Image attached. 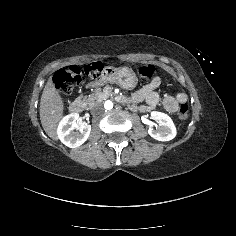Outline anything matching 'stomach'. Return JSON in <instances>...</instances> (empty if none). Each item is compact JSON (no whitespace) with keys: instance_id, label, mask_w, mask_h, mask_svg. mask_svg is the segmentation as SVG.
Masks as SVG:
<instances>
[{"instance_id":"obj_1","label":"stomach","mask_w":236,"mask_h":236,"mask_svg":"<svg viewBox=\"0 0 236 236\" xmlns=\"http://www.w3.org/2000/svg\"><path fill=\"white\" fill-rule=\"evenodd\" d=\"M107 82L115 83L122 89L132 90L136 87L138 78L135 72L129 67H109L106 75Z\"/></svg>"}]
</instances>
